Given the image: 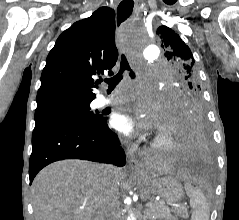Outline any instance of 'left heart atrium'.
<instances>
[{"instance_id":"39dd6f15","label":"left heart atrium","mask_w":239,"mask_h":220,"mask_svg":"<svg viewBox=\"0 0 239 220\" xmlns=\"http://www.w3.org/2000/svg\"><path fill=\"white\" fill-rule=\"evenodd\" d=\"M127 104L133 103L136 105L135 116L125 113H117L112 119L113 126L122 134L128 137H137L138 130L150 131L156 125L158 119L157 112L148 108L146 99L137 93L124 96ZM148 133L145 132L141 136L145 137Z\"/></svg>"}]
</instances>
